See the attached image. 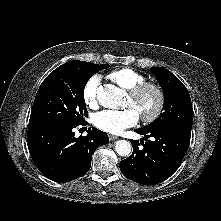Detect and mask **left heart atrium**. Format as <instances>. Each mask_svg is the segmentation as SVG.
<instances>
[{
  "label": "left heart atrium",
  "mask_w": 221,
  "mask_h": 221,
  "mask_svg": "<svg viewBox=\"0 0 221 221\" xmlns=\"http://www.w3.org/2000/svg\"><path fill=\"white\" fill-rule=\"evenodd\" d=\"M139 117L132 107L124 110H103L92 117V123L104 132L119 134L126 128L137 124Z\"/></svg>",
  "instance_id": "obj_1"
}]
</instances>
